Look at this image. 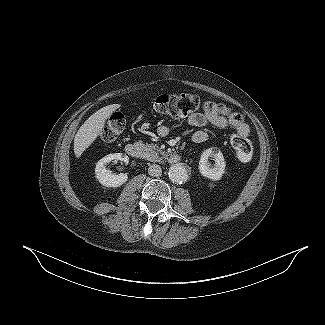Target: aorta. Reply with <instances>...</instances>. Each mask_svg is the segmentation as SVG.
<instances>
[{
  "label": "aorta",
  "instance_id": "762f6f07",
  "mask_svg": "<svg viewBox=\"0 0 325 325\" xmlns=\"http://www.w3.org/2000/svg\"><path fill=\"white\" fill-rule=\"evenodd\" d=\"M169 179L174 183H183L188 179V171L182 164H174L169 169Z\"/></svg>",
  "mask_w": 325,
  "mask_h": 325
}]
</instances>
